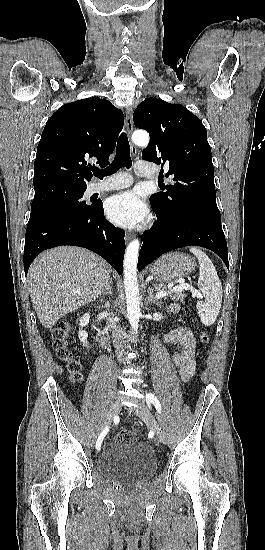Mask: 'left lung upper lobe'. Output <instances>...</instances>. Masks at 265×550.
<instances>
[{"label":"left lung upper lobe","mask_w":265,"mask_h":550,"mask_svg":"<svg viewBox=\"0 0 265 550\" xmlns=\"http://www.w3.org/2000/svg\"><path fill=\"white\" fill-rule=\"evenodd\" d=\"M136 127L150 134L142 159L167 167L165 192L151 195L152 209L160 217L196 211L221 219L216 204L214 168L207 132L194 114L179 104L148 98L133 115Z\"/></svg>","instance_id":"5c2ea615"}]
</instances>
